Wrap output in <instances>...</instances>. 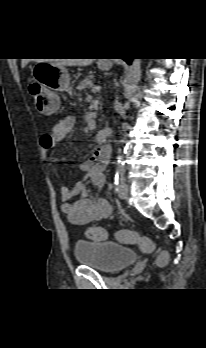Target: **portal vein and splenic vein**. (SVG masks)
<instances>
[{"label":"portal vein and splenic vein","mask_w":206,"mask_h":348,"mask_svg":"<svg viewBox=\"0 0 206 348\" xmlns=\"http://www.w3.org/2000/svg\"><path fill=\"white\" fill-rule=\"evenodd\" d=\"M101 91V87L100 86H94L92 88V93H97V92H100Z\"/></svg>","instance_id":"obj_1"}]
</instances>
